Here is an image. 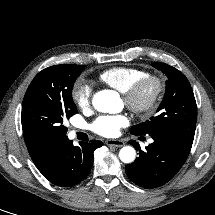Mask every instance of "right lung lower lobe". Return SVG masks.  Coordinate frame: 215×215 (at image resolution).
I'll list each match as a JSON object with an SVG mask.
<instances>
[{"label": "right lung lower lobe", "instance_id": "1", "mask_svg": "<svg viewBox=\"0 0 215 215\" xmlns=\"http://www.w3.org/2000/svg\"><path fill=\"white\" fill-rule=\"evenodd\" d=\"M103 143L92 140L73 146L68 138L61 142L48 159L44 169L39 170L51 183L71 187L80 183L90 172L94 151Z\"/></svg>", "mask_w": 215, "mask_h": 215}]
</instances>
